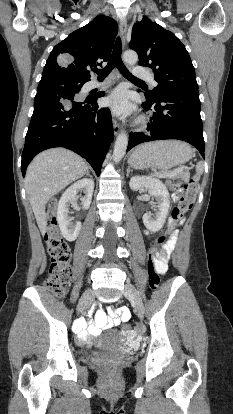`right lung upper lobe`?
Wrapping results in <instances>:
<instances>
[{"instance_id":"right-lung-upper-lobe-1","label":"right lung upper lobe","mask_w":233,"mask_h":414,"mask_svg":"<svg viewBox=\"0 0 233 414\" xmlns=\"http://www.w3.org/2000/svg\"><path fill=\"white\" fill-rule=\"evenodd\" d=\"M117 30V23L112 18L95 17L53 48L42 78L89 81L88 69L101 66L109 59Z\"/></svg>"}]
</instances>
